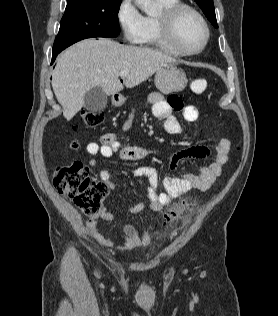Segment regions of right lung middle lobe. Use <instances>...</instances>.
<instances>
[{
    "mask_svg": "<svg viewBox=\"0 0 278 316\" xmlns=\"http://www.w3.org/2000/svg\"><path fill=\"white\" fill-rule=\"evenodd\" d=\"M122 0H67L53 51L89 37H116Z\"/></svg>",
    "mask_w": 278,
    "mask_h": 316,
    "instance_id": "1",
    "label": "right lung middle lobe"
}]
</instances>
